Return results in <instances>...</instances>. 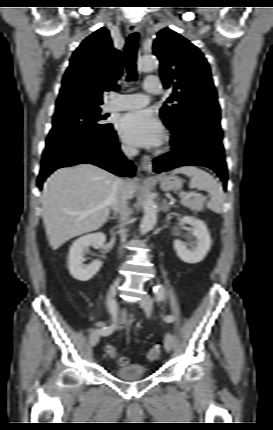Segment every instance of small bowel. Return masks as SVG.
I'll list each match as a JSON object with an SVG mask.
<instances>
[{
	"label": "small bowel",
	"mask_w": 273,
	"mask_h": 430,
	"mask_svg": "<svg viewBox=\"0 0 273 430\" xmlns=\"http://www.w3.org/2000/svg\"><path fill=\"white\" fill-rule=\"evenodd\" d=\"M127 324H128V319L125 314H122L119 320L115 323L114 330H116L117 332H122L124 328L127 326ZM103 325H104L103 322H99L97 324L99 328H102Z\"/></svg>",
	"instance_id": "small-bowel-1"
}]
</instances>
